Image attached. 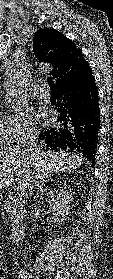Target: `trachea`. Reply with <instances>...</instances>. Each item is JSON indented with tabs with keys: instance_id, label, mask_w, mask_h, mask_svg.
Listing matches in <instances>:
<instances>
[{
	"instance_id": "trachea-1",
	"label": "trachea",
	"mask_w": 113,
	"mask_h": 279,
	"mask_svg": "<svg viewBox=\"0 0 113 279\" xmlns=\"http://www.w3.org/2000/svg\"><path fill=\"white\" fill-rule=\"evenodd\" d=\"M47 81H48L50 89H56L53 79L51 77H48Z\"/></svg>"
}]
</instances>
